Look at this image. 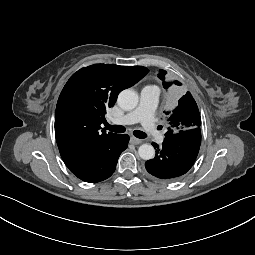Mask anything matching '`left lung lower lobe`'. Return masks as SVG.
Here are the masks:
<instances>
[{
	"label": "left lung lower lobe",
	"instance_id": "left-lung-lower-lobe-1",
	"mask_svg": "<svg viewBox=\"0 0 255 255\" xmlns=\"http://www.w3.org/2000/svg\"><path fill=\"white\" fill-rule=\"evenodd\" d=\"M200 144L199 127L165 137L161 148L153 142L156 154L153 159L146 161L145 168L149 174L160 181H176L194 164Z\"/></svg>",
	"mask_w": 255,
	"mask_h": 255
}]
</instances>
